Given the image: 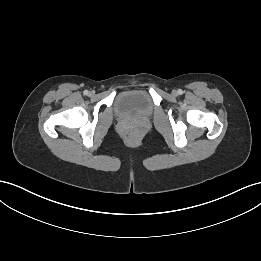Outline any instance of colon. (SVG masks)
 I'll return each instance as SVG.
<instances>
[{
	"mask_svg": "<svg viewBox=\"0 0 261 261\" xmlns=\"http://www.w3.org/2000/svg\"><path fill=\"white\" fill-rule=\"evenodd\" d=\"M130 137H131L132 139H137V138H138V133L135 132V131H133V132L130 133Z\"/></svg>",
	"mask_w": 261,
	"mask_h": 261,
	"instance_id": "5ec220e1",
	"label": "colon"
}]
</instances>
